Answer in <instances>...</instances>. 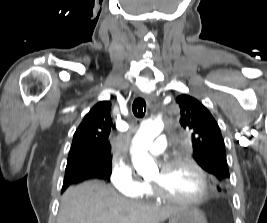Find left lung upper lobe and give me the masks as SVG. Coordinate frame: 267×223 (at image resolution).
Listing matches in <instances>:
<instances>
[{
  "label": "left lung upper lobe",
  "mask_w": 267,
  "mask_h": 223,
  "mask_svg": "<svg viewBox=\"0 0 267 223\" xmlns=\"http://www.w3.org/2000/svg\"><path fill=\"white\" fill-rule=\"evenodd\" d=\"M176 102L181 110L180 124L191 134L195 160L217 179L218 190H224L223 184L230 175L217 122L207 108L193 97L182 94L176 98Z\"/></svg>",
  "instance_id": "5c2ea615"
}]
</instances>
